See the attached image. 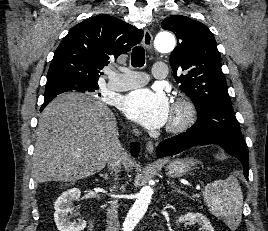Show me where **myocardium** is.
<instances>
[{"label": "myocardium", "instance_id": "f54148a6", "mask_svg": "<svg viewBox=\"0 0 268 231\" xmlns=\"http://www.w3.org/2000/svg\"><path fill=\"white\" fill-rule=\"evenodd\" d=\"M176 117L167 124L166 131L169 133H180L187 130L196 116L194 104L187 97L177 98L172 106Z\"/></svg>", "mask_w": 268, "mask_h": 231}]
</instances>
